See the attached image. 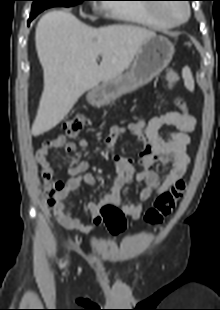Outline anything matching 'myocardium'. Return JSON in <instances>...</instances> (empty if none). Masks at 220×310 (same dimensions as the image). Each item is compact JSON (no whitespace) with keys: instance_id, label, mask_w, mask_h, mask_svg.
I'll use <instances>...</instances> for the list:
<instances>
[{"instance_id":"obj_1","label":"myocardium","mask_w":220,"mask_h":310,"mask_svg":"<svg viewBox=\"0 0 220 310\" xmlns=\"http://www.w3.org/2000/svg\"><path fill=\"white\" fill-rule=\"evenodd\" d=\"M181 5L185 9V15H184L183 18H181L179 20H173V19L163 15L161 13V8L154 7L152 11H153L154 16L157 17L158 19L166 22L167 24H169L171 26H178V25H181V24L185 23L188 20L189 16H190V7H189V5L188 4H181Z\"/></svg>"}]
</instances>
